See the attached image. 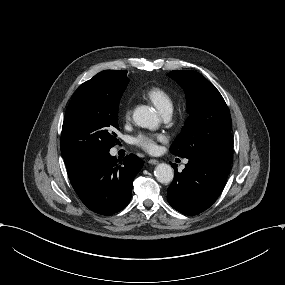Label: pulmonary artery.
Masks as SVG:
<instances>
[{"instance_id": "pulmonary-artery-1", "label": "pulmonary artery", "mask_w": 285, "mask_h": 285, "mask_svg": "<svg viewBox=\"0 0 285 285\" xmlns=\"http://www.w3.org/2000/svg\"><path fill=\"white\" fill-rule=\"evenodd\" d=\"M170 114H171V109H167V110H164L162 111V115H163V118L164 119H168L170 117ZM113 154H116V151L113 150ZM188 162V160H185L184 163H183V167L185 166V164Z\"/></svg>"}]
</instances>
